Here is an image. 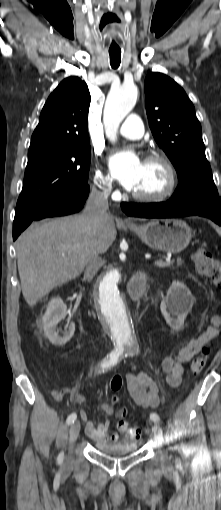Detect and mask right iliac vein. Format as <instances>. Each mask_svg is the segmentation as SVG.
Wrapping results in <instances>:
<instances>
[{"label": "right iliac vein", "mask_w": 221, "mask_h": 510, "mask_svg": "<svg viewBox=\"0 0 221 510\" xmlns=\"http://www.w3.org/2000/svg\"><path fill=\"white\" fill-rule=\"evenodd\" d=\"M79 432H80V422L76 421L71 425L70 431H69V442L71 445H73L74 442L76 441V439L79 435Z\"/></svg>", "instance_id": "63e3f726"}]
</instances>
